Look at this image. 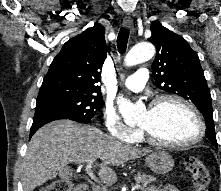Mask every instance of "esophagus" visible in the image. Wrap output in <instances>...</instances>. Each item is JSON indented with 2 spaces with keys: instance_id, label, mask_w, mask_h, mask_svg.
<instances>
[{
  "instance_id": "34e87169",
  "label": "esophagus",
  "mask_w": 221,
  "mask_h": 191,
  "mask_svg": "<svg viewBox=\"0 0 221 191\" xmlns=\"http://www.w3.org/2000/svg\"><path fill=\"white\" fill-rule=\"evenodd\" d=\"M123 26L128 29H133V20L129 16H125L123 19Z\"/></svg>"
}]
</instances>
